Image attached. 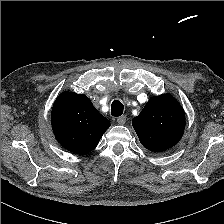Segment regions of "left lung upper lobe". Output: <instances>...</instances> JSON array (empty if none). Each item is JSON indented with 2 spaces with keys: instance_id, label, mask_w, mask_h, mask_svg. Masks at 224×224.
I'll use <instances>...</instances> for the list:
<instances>
[{
  "instance_id": "obj_1",
  "label": "left lung upper lobe",
  "mask_w": 224,
  "mask_h": 224,
  "mask_svg": "<svg viewBox=\"0 0 224 224\" xmlns=\"http://www.w3.org/2000/svg\"><path fill=\"white\" fill-rule=\"evenodd\" d=\"M132 125L145 148L161 152L180 141L185 128V113L172 95L154 96L133 118Z\"/></svg>"
}]
</instances>
